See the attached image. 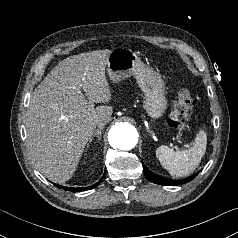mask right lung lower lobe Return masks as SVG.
<instances>
[{
	"mask_svg": "<svg viewBox=\"0 0 238 238\" xmlns=\"http://www.w3.org/2000/svg\"><path fill=\"white\" fill-rule=\"evenodd\" d=\"M104 178V176L102 177ZM101 181H98L96 184L86 187V188H70V187H62L63 189L67 190V191H72V192H78V191H83V190H89L92 189L96 186H98L100 184ZM56 187L61 188L60 185L54 184Z\"/></svg>",
	"mask_w": 238,
	"mask_h": 238,
	"instance_id": "right-lung-lower-lobe-1",
	"label": "right lung lower lobe"
}]
</instances>
